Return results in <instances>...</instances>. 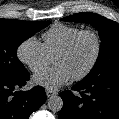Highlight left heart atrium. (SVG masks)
I'll return each instance as SVG.
<instances>
[{"instance_id":"39dd6f15","label":"left heart atrium","mask_w":119,"mask_h":119,"mask_svg":"<svg viewBox=\"0 0 119 119\" xmlns=\"http://www.w3.org/2000/svg\"><path fill=\"white\" fill-rule=\"evenodd\" d=\"M71 74L62 66L43 69L33 76V81L48 89H57L72 80Z\"/></svg>"}]
</instances>
